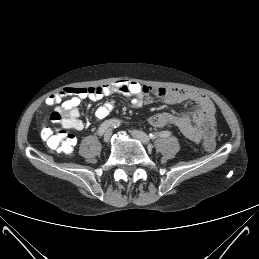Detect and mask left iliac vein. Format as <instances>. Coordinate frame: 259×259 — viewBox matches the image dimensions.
<instances>
[{"mask_svg":"<svg viewBox=\"0 0 259 259\" xmlns=\"http://www.w3.org/2000/svg\"><path fill=\"white\" fill-rule=\"evenodd\" d=\"M131 135L145 145L150 144L149 136L140 130H132Z\"/></svg>","mask_w":259,"mask_h":259,"instance_id":"1","label":"left iliac vein"}]
</instances>
